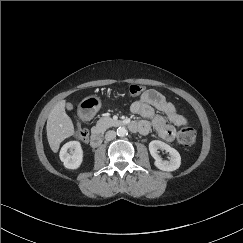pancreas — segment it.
<instances>
[{
    "mask_svg": "<svg viewBox=\"0 0 243 243\" xmlns=\"http://www.w3.org/2000/svg\"><path fill=\"white\" fill-rule=\"evenodd\" d=\"M115 125V121L108 117V116H105V117H101L98 121H97V124L96 126L94 127V129L98 132H105L108 128L112 127Z\"/></svg>",
    "mask_w": 243,
    "mask_h": 243,
    "instance_id": "obj_1",
    "label": "pancreas"
}]
</instances>
